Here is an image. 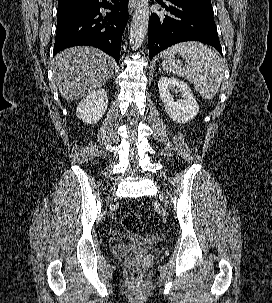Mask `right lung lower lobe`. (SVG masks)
Masks as SVG:
<instances>
[{
    "instance_id": "obj_1",
    "label": "right lung lower lobe",
    "mask_w": 272,
    "mask_h": 303,
    "mask_svg": "<svg viewBox=\"0 0 272 303\" xmlns=\"http://www.w3.org/2000/svg\"><path fill=\"white\" fill-rule=\"evenodd\" d=\"M101 7L111 10L102 14ZM128 21V0H92L57 13L53 55L78 45L99 48L119 62L123 31Z\"/></svg>"
}]
</instances>
